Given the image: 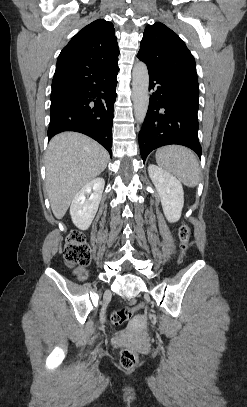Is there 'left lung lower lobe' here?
<instances>
[{
  "label": "left lung lower lobe",
  "instance_id": "1",
  "mask_svg": "<svg viewBox=\"0 0 247 407\" xmlns=\"http://www.w3.org/2000/svg\"><path fill=\"white\" fill-rule=\"evenodd\" d=\"M149 108L139 133L143 161L161 146L179 144L191 148L199 157L202 149L198 140L199 86L198 81L159 73L149 69Z\"/></svg>",
  "mask_w": 247,
  "mask_h": 407
}]
</instances>
